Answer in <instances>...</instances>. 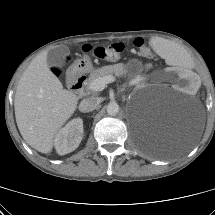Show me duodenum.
I'll return each mask as SVG.
<instances>
[{
	"label": "duodenum",
	"instance_id": "obj_1",
	"mask_svg": "<svg viewBox=\"0 0 215 215\" xmlns=\"http://www.w3.org/2000/svg\"><path fill=\"white\" fill-rule=\"evenodd\" d=\"M68 85L75 92L80 94L83 90L85 76L76 68H71L67 75Z\"/></svg>",
	"mask_w": 215,
	"mask_h": 215
}]
</instances>
